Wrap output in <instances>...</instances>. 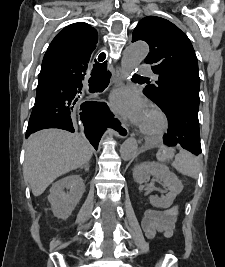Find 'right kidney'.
Returning a JSON list of instances; mask_svg holds the SVG:
<instances>
[{
    "label": "right kidney",
    "instance_id": "ca27d5eb",
    "mask_svg": "<svg viewBox=\"0 0 225 267\" xmlns=\"http://www.w3.org/2000/svg\"><path fill=\"white\" fill-rule=\"evenodd\" d=\"M84 191L85 184L79 175H70L55 182L48 196L53 214L57 218H68Z\"/></svg>",
    "mask_w": 225,
    "mask_h": 267
}]
</instances>
